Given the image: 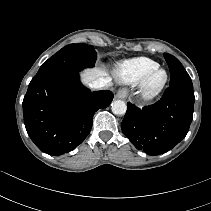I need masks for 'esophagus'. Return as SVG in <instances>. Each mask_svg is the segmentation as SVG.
<instances>
[{"label":"esophagus","mask_w":211,"mask_h":211,"mask_svg":"<svg viewBox=\"0 0 211 211\" xmlns=\"http://www.w3.org/2000/svg\"><path fill=\"white\" fill-rule=\"evenodd\" d=\"M127 96V90L122 89L119 90L116 95H115V99H124Z\"/></svg>","instance_id":"34e87169"}]
</instances>
